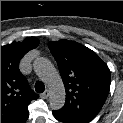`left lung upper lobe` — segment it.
Masks as SVG:
<instances>
[{
  "instance_id": "1",
  "label": "left lung upper lobe",
  "mask_w": 123,
  "mask_h": 123,
  "mask_svg": "<svg viewBox=\"0 0 123 123\" xmlns=\"http://www.w3.org/2000/svg\"><path fill=\"white\" fill-rule=\"evenodd\" d=\"M65 90L66 102L55 111L74 123H88L104 105L110 89L107 64L92 50L68 40L50 42Z\"/></svg>"
}]
</instances>
